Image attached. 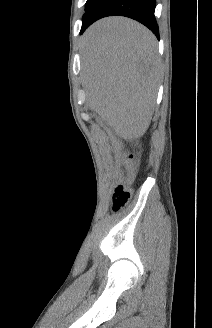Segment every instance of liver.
Listing matches in <instances>:
<instances>
[{
	"instance_id": "obj_1",
	"label": "liver",
	"mask_w": 212,
	"mask_h": 328,
	"mask_svg": "<svg viewBox=\"0 0 212 328\" xmlns=\"http://www.w3.org/2000/svg\"><path fill=\"white\" fill-rule=\"evenodd\" d=\"M88 104L124 139L143 135L155 108L160 66L155 36L125 17H107L83 35Z\"/></svg>"
}]
</instances>
